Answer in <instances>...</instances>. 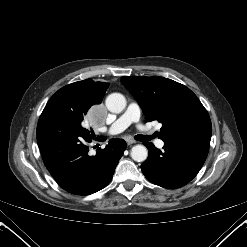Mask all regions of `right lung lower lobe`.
<instances>
[{
	"instance_id": "obj_1",
	"label": "right lung lower lobe",
	"mask_w": 247,
	"mask_h": 247,
	"mask_svg": "<svg viewBox=\"0 0 247 247\" xmlns=\"http://www.w3.org/2000/svg\"><path fill=\"white\" fill-rule=\"evenodd\" d=\"M90 133L81 123L63 115L42 112L37 125V142L44 164L55 181L69 193L89 195L112 179L126 142L111 139L95 156L88 155Z\"/></svg>"
}]
</instances>
